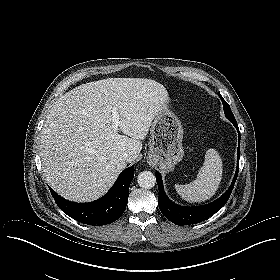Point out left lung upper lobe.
I'll use <instances>...</instances> for the list:
<instances>
[{
  "label": "left lung upper lobe",
  "instance_id": "1",
  "mask_svg": "<svg viewBox=\"0 0 280 280\" xmlns=\"http://www.w3.org/2000/svg\"><path fill=\"white\" fill-rule=\"evenodd\" d=\"M219 97L223 103V108H224V113H225V116L228 120H230L232 123H236V119L230 109V106L228 105V103L223 99V97L221 96V94L219 93Z\"/></svg>",
  "mask_w": 280,
  "mask_h": 280
}]
</instances>
